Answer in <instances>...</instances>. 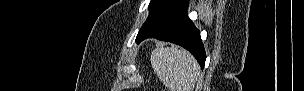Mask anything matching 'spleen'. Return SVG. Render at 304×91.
Masks as SVG:
<instances>
[{"mask_svg": "<svg viewBox=\"0 0 304 91\" xmlns=\"http://www.w3.org/2000/svg\"><path fill=\"white\" fill-rule=\"evenodd\" d=\"M151 65L170 91H193L200 71L194 57L178 46L157 47L151 52Z\"/></svg>", "mask_w": 304, "mask_h": 91, "instance_id": "obj_1", "label": "spleen"}]
</instances>
